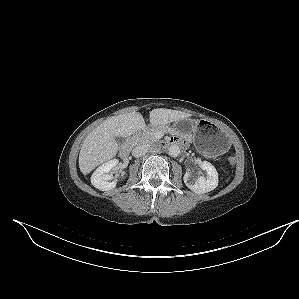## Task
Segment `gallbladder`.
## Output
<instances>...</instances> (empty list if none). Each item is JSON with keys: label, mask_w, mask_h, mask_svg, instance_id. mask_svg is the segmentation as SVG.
<instances>
[{"label": "gallbladder", "mask_w": 299, "mask_h": 299, "mask_svg": "<svg viewBox=\"0 0 299 299\" xmlns=\"http://www.w3.org/2000/svg\"><path fill=\"white\" fill-rule=\"evenodd\" d=\"M115 140L118 143V145H122L125 142V139L123 137H119V136H116Z\"/></svg>", "instance_id": "gallbladder-1"}]
</instances>
